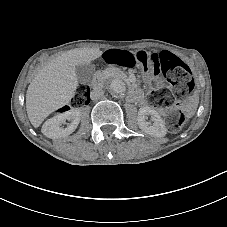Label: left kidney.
I'll use <instances>...</instances> for the list:
<instances>
[{
  "label": "left kidney",
  "instance_id": "5707ae66",
  "mask_svg": "<svg viewBox=\"0 0 227 227\" xmlns=\"http://www.w3.org/2000/svg\"><path fill=\"white\" fill-rule=\"evenodd\" d=\"M148 117H150V121L146 120ZM137 119L140 129L147 134L154 135L156 137L165 136L166 128L164 121L155 109L150 107L140 108Z\"/></svg>",
  "mask_w": 227,
  "mask_h": 227
}]
</instances>
